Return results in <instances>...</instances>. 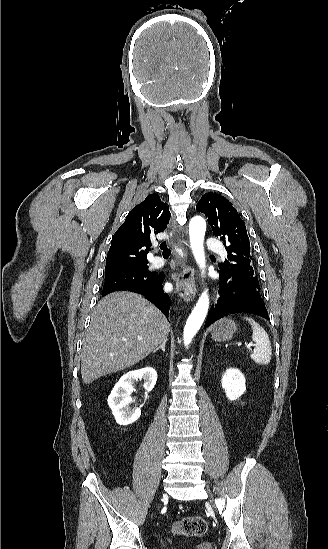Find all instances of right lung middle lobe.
<instances>
[{
	"label": "right lung middle lobe",
	"mask_w": 328,
	"mask_h": 549,
	"mask_svg": "<svg viewBox=\"0 0 328 549\" xmlns=\"http://www.w3.org/2000/svg\"><path fill=\"white\" fill-rule=\"evenodd\" d=\"M156 277L157 273L148 271L147 265L105 273L103 295L130 286L148 285Z\"/></svg>",
	"instance_id": "obj_1"
}]
</instances>
